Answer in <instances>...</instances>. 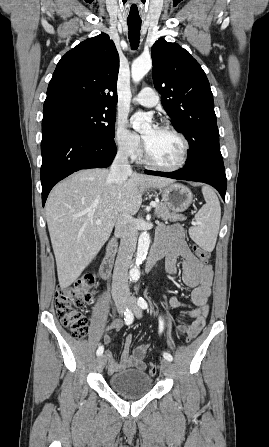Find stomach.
I'll return each mask as SVG.
<instances>
[{"instance_id": "obj_1", "label": "stomach", "mask_w": 269, "mask_h": 447, "mask_svg": "<svg viewBox=\"0 0 269 447\" xmlns=\"http://www.w3.org/2000/svg\"><path fill=\"white\" fill-rule=\"evenodd\" d=\"M162 194V200L172 212H185L192 204L193 194L186 186L180 184H169L163 188H157Z\"/></svg>"}]
</instances>
